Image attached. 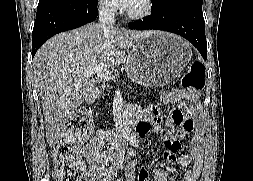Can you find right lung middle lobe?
Returning <instances> with one entry per match:
<instances>
[{
  "label": "right lung middle lobe",
  "mask_w": 253,
  "mask_h": 181,
  "mask_svg": "<svg viewBox=\"0 0 253 181\" xmlns=\"http://www.w3.org/2000/svg\"><path fill=\"white\" fill-rule=\"evenodd\" d=\"M58 1H62V0H39L37 8H41V7L47 6L49 4H52V3H55ZM91 1L98 2V0H91Z\"/></svg>",
  "instance_id": "right-lung-middle-lobe-1"
}]
</instances>
